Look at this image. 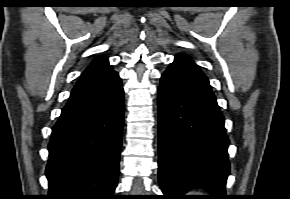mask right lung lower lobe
Listing matches in <instances>:
<instances>
[{
  "mask_svg": "<svg viewBox=\"0 0 290 199\" xmlns=\"http://www.w3.org/2000/svg\"><path fill=\"white\" fill-rule=\"evenodd\" d=\"M123 120L120 78L69 98L48 146L47 199H114Z\"/></svg>",
  "mask_w": 290,
  "mask_h": 199,
  "instance_id": "98d812e1",
  "label": "right lung lower lobe"
}]
</instances>
